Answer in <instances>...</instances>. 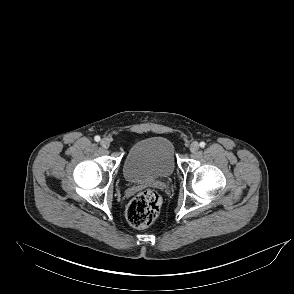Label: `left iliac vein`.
Segmentation results:
<instances>
[{
	"instance_id": "left-iliac-vein-1",
	"label": "left iliac vein",
	"mask_w": 294,
	"mask_h": 294,
	"mask_svg": "<svg viewBox=\"0 0 294 294\" xmlns=\"http://www.w3.org/2000/svg\"><path fill=\"white\" fill-rule=\"evenodd\" d=\"M189 149H190V151H191L192 153L197 152L198 149H199V144H198V142H196V141L192 142L191 145H190V147H189Z\"/></svg>"
}]
</instances>
